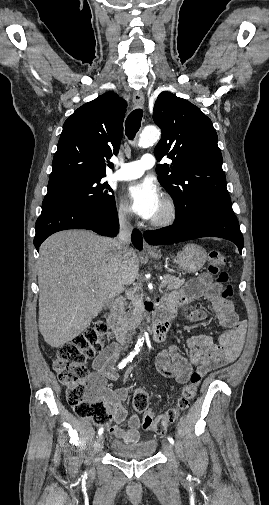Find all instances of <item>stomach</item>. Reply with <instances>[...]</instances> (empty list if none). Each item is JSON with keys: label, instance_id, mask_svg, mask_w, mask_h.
Here are the masks:
<instances>
[{"label": "stomach", "instance_id": "stomach-1", "mask_svg": "<svg viewBox=\"0 0 269 505\" xmlns=\"http://www.w3.org/2000/svg\"><path fill=\"white\" fill-rule=\"evenodd\" d=\"M153 258H159V254H151ZM207 260L206 250L196 244H187L177 253L175 262L186 273H195L200 270Z\"/></svg>", "mask_w": 269, "mask_h": 505}]
</instances>
